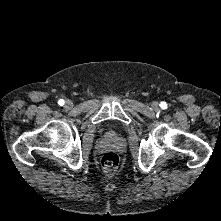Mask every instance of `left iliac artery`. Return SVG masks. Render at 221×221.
Returning <instances> with one entry per match:
<instances>
[{"mask_svg": "<svg viewBox=\"0 0 221 221\" xmlns=\"http://www.w3.org/2000/svg\"><path fill=\"white\" fill-rule=\"evenodd\" d=\"M160 107H161L162 109H166V108H167L166 102H161Z\"/></svg>", "mask_w": 221, "mask_h": 221, "instance_id": "44dca946", "label": "left iliac artery"}]
</instances>
